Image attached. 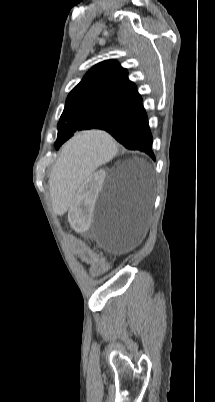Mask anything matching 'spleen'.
Instances as JSON below:
<instances>
[{"label": "spleen", "mask_w": 215, "mask_h": 402, "mask_svg": "<svg viewBox=\"0 0 215 402\" xmlns=\"http://www.w3.org/2000/svg\"><path fill=\"white\" fill-rule=\"evenodd\" d=\"M116 147L107 128H82L64 144L61 159L51 171L50 192L56 198L54 214L64 215L74 202V193H81L82 184L91 182L98 166L111 159Z\"/></svg>", "instance_id": "3e777b00"}]
</instances>
